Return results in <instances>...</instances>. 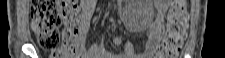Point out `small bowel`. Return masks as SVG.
Returning <instances> with one entry per match:
<instances>
[{
    "label": "small bowel",
    "mask_w": 225,
    "mask_h": 58,
    "mask_svg": "<svg viewBox=\"0 0 225 58\" xmlns=\"http://www.w3.org/2000/svg\"><path fill=\"white\" fill-rule=\"evenodd\" d=\"M169 3L170 1L167 0H158L153 3L157 14L149 25V39L142 49V51L148 54L147 57H155V52L163 33L164 15ZM96 5L97 0H86L82 1L80 4L82 13L80 17L79 33L75 40L77 51L76 58H139L140 56L137 55L134 45L129 41L123 42L119 36H115L113 38L114 45L122 49L119 54H114L110 51L103 40L93 44L88 49L85 47L89 26L96 9Z\"/></svg>",
    "instance_id": "c3829d8e"
}]
</instances>
